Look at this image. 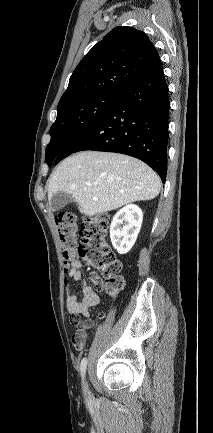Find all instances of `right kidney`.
<instances>
[{"mask_svg": "<svg viewBox=\"0 0 213 433\" xmlns=\"http://www.w3.org/2000/svg\"><path fill=\"white\" fill-rule=\"evenodd\" d=\"M143 220L142 210L134 204L120 209L110 225V238L119 254H126L135 244Z\"/></svg>", "mask_w": 213, "mask_h": 433, "instance_id": "ca27d5eb", "label": "right kidney"}]
</instances>
